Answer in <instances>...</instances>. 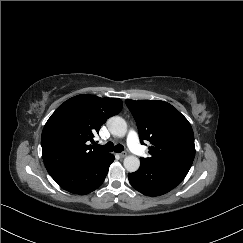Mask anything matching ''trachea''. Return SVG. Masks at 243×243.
<instances>
[{"label":"trachea","mask_w":243,"mask_h":243,"mask_svg":"<svg viewBox=\"0 0 243 243\" xmlns=\"http://www.w3.org/2000/svg\"><path fill=\"white\" fill-rule=\"evenodd\" d=\"M95 147L97 149H103L106 151H115L117 153H120L124 150L123 145L118 144V145L114 146V144L112 142H108L107 144H105L103 146L96 144Z\"/></svg>","instance_id":"obj_1"}]
</instances>
